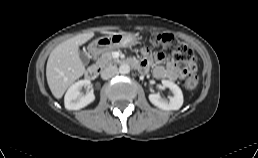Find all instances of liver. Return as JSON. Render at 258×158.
<instances>
[{
  "label": "liver",
  "mask_w": 258,
  "mask_h": 158,
  "mask_svg": "<svg viewBox=\"0 0 258 158\" xmlns=\"http://www.w3.org/2000/svg\"><path fill=\"white\" fill-rule=\"evenodd\" d=\"M105 33L115 34V32ZM93 36V32L76 35L51 51L46 66V77L55 98L60 99L67 88L84 74L85 66L79 57V46Z\"/></svg>",
  "instance_id": "liver-1"
}]
</instances>
